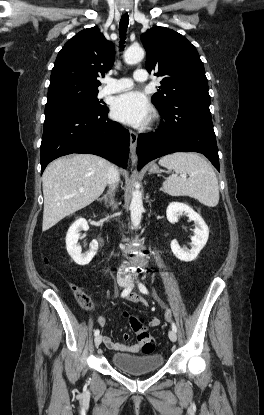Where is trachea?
<instances>
[{
  "label": "trachea",
  "instance_id": "trachea-1",
  "mask_svg": "<svg viewBox=\"0 0 264 415\" xmlns=\"http://www.w3.org/2000/svg\"><path fill=\"white\" fill-rule=\"evenodd\" d=\"M128 24H129V16L126 13L121 17L120 23H119V33H120V39H121L120 46L121 47L123 46L125 42Z\"/></svg>",
  "mask_w": 264,
  "mask_h": 415
}]
</instances>
